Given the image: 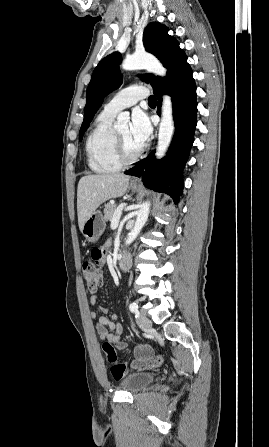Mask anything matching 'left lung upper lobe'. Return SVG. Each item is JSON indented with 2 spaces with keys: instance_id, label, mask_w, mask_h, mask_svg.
Wrapping results in <instances>:
<instances>
[{
  "instance_id": "left-lung-upper-lobe-1",
  "label": "left lung upper lobe",
  "mask_w": 269,
  "mask_h": 447,
  "mask_svg": "<svg viewBox=\"0 0 269 447\" xmlns=\"http://www.w3.org/2000/svg\"><path fill=\"white\" fill-rule=\"evenodd\" d=\"M145 50L155 55L167 68V78L169 77L180 54L183 52L177 40L168 35V28L162 24L150 23L143 35ZM121 55L112 53L102 59L93 71L90 84L87 88V103L82 126L79 132V140H82L84 132L87 130L94 114L101 106L104 97L111 91L118 88L122 82L119 70ZM142 80L150 83L153 90L160 87L166 80L159 76L145 74L140 76Z\"/></svg>"
}]
</instances>
